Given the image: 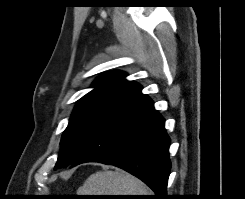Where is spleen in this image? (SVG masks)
<instances>
[{"mask_svg":"<svg viewBox=\"0 0 245 199\" xmlns=\"http://www.w3.org/2000/svg\"><path fill=\"white\" fill-rule=\"evenodd\" d=\"M137 178L120 171L92 174L78 189V195H151Z\"/></svg>","mask_w":245,"mask_h":199,"instance_id":"1","label":"spleen"}]
</instances>
